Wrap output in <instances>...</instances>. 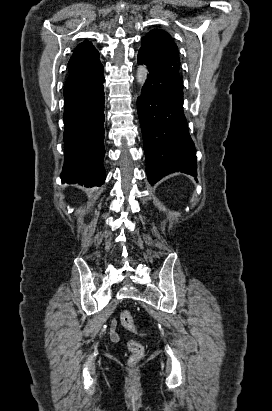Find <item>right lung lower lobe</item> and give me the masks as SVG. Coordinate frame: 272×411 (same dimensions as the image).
<instances>
[{
    "mask_svg": "<svg viewBox=\"0 0 272 411\" xmlns=\"http://www.w3.org/2000/svg\"><path fill=\"white\" fill-rule=\"evenodd\" d=\"M103 83L102 75L91 87L64 96L63 183L93 187L100 186L105 181Z\"/></svg>",
    "mask_w": 272,
    "mask_h": 411,
    "instance_id": "right-lung-lower-lobe-1",
    "label": "right lung lower lobe"
}]
</instances>
